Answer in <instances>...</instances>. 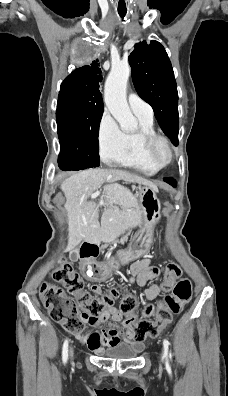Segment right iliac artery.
<instances>
[{
  "label": "right iliac artery",
  "instance_id": "1",
  "mask_svg": "<svg viewBox=\"0 0 228 396\" xmlns=\"http://www.w3.org/2000/svg\"><path fill=\"white\" fill-rule=\"evenodd\" d=\"M68 359V339L64 341L63 348H62V360L65 364Z\"/></svg>",
  "mask_w": 228,
  "mask_h": 396
}]
</instances>
